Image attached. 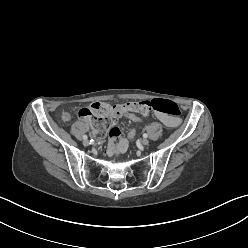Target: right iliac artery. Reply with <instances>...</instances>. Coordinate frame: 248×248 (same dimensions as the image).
<instances>
[{
	"instance_id": "1",
	"label": "right iliac artery",
	"mask_w": 248,
	"mask_h": 248,
	"mask_svg": "<svg viewBox=\"0 0 248 248\" xmlns=\"http://www.w3.org/2000/svg\"><path fill=\"white\" fill-rule=\"evenodd\" d=\"M87 138H88L87 135H84V136H83V139H84V140L87 139Z\"/></svg>"
}]
</instances>
